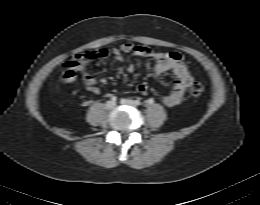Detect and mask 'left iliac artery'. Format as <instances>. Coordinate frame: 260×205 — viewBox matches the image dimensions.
Segmentation results:
<instances>
[{"label": "left iliac artery", "mask_w": 260, "mask_h": 205, "mask_svg": "<svg viewBox=\"0 0 260 205\" xmlns=\"http://www.w3.org/2000/svg\"><path fill=\"white\" fill-rule=\"evenodd\" d=\"M134 103H135V106H139L141 104V102L139 100H135Z\"/></svg>", "instance_id": "44dca946"}]
</instances>
